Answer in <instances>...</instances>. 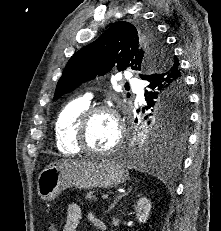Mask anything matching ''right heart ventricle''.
Listing matches in <instances>:
<instances>
[{"label":"right heart ventricle","instance_id":"right-heart-ventricle-1","mask_svg":"<svg viewBox=\"0 0 221 231\" xmlns=\"http://www.w3.org/2000/svg\"><path fill=\"white\" fill-rule=\"evenodd\" d=\"M89 108V102L84 99H75L68 102L59 112L54 126L56 146L66 155L77 154L76 124L80 116Z\"/></svg>","mask_w":221,"mask_h":231}]
</instances>
